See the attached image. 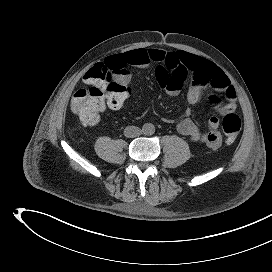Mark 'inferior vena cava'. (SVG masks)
<instances>
[{"mask_svg":"<svg viewBox=\"0 0 272 272\" xmlns=\"http://www.w3.org/2000/svg\"><path fill=\"white\" fill-rule=\"evenodd\" d=\"M142 133V130L136 126H128L124 130V135L128 138H134L139 136Z\"/></svg>","mask_w":272,"mask_h":272,"instance_id":"inferior-vena-cava-1","label":"inferior vena cava"}]
</instances>
